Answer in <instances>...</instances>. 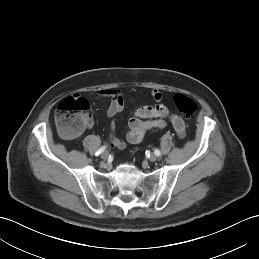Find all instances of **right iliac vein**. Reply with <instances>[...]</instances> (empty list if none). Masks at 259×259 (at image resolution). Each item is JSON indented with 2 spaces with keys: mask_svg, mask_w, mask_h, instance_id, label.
Listing matches in <instances>:
<instances>
[{
  "mask_svg": "<svg viewBox=\"0 0 259 259\" xmlns=\"http://www.w3.org/2000/svg\"><path fill=\"white\" fill-rule=\"evenodd\" d=\"M101 158H102V159H107V158H108V152H107V151H103V152L101 153Z\"/></svg>",
  "mask_w": 259,
  "mask_h": 259,
  "instance_id": "obj_1",
  "label": "right iliac vein"
}]
</instances>
